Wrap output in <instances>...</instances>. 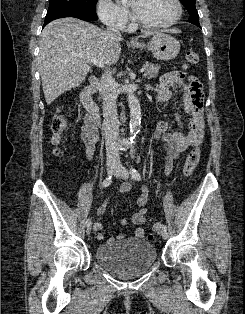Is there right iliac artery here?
<instances>
[{
	"mask_svg": "<svg viewBox=\"0 0 245 314\" xmlns=\"http://www.w3.org/2000/svg\"><path fill=\"white\" fill-rule=\"evenodd\" d=\"M111 182H112V176H109L108 178H106V179L103 181L102 187H108V186L111 184ZM91 224H92L91 220L88 219V220L86 221V225H87V226H90Z\"/></svg>",
	"mask_w": 245,
	"mask_h": 314,
	"instance_id": "right-iliac-artery-1",
	"label": "right iliac artery"
}]
</instances>
